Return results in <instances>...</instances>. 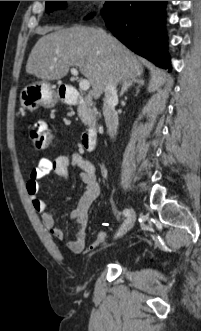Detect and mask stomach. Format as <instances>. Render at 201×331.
Listing matches in <instances>:
<instances>
[{
    "label": "stomach",
    "instance_id": "0dacf381",
    "mask_svg": "<svg viewBox=\"0 0 201 331\" xmlns=\"http://www.w3.org/2000/svg\"><path fill=\"white\" fill-rule=\"evenodd\" d=\"M56 101V93L46 81L33 82L25 86L20 93V103L29 111H34L40 106L52 108Z\"/></svg>",
    "mask_w": 201,
    "mask_h": 331
}]
</instances>
